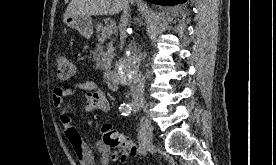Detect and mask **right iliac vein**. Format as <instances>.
I'll use <instances>...</instances> for the list:
<instances>
[{"label":"right iliac vein","instance_id":"obj_1","mask_svg":"<svg viewBox=\"0 0 276 165\" xmlns=\"http://www.w3.org/2000/svg\"><path fill=\"white\" fill-rule=\"evenodd\" d=\"M134 108H136L138 110H140V109L146 110L147 106H146V103L144 101H137V102L134 103ZM143 120H144L146 131H147L146 150H150L151 147H152L151 140H152L153 127H152L151 121L148 118V116L143 117Z\"/></svg>","mask_w":276,"mask_h":165}]
</instances>
